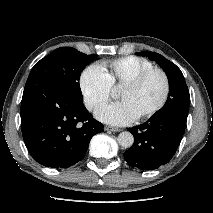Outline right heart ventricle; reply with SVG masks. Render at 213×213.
<instances>
[{
	"mask_svg": "<svg viewBox=\"0 0 213 213\" xmlns=\"http://www.w3.org/2000/svg\"><path fill=\"white\" fill-rule=\"evenodd\" d=\"M153 64L138 56H126L103 64L112 87L122 86L142 71L153 68Z\"/></svg>",
	"mask_w": 213,
	"mask_h": 213,
	"instance_id": "right-heart-ventricle-1",
	"label": "right heart ventricle"
}]
</instances>
